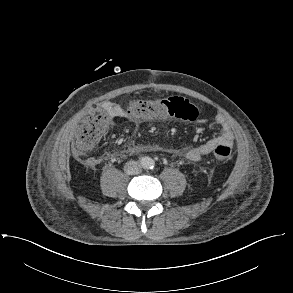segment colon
<instances>
[{
    "mask_svg": "<svg viewBox=\"0 0 293 293\" xmlns=\"http://www.w3.org/2000/svg\"><path fill=\"white\" fill-rule=\"evenodd\" d=\"M127 113L135 119L159 120L165 117H175L183 120H195L198 109L187 99L171 96L161 100H137L132 102ZM111 118L106 110H99L86 117L79 125L73 142L76 156L84 155L96 144L110 125ZM214 158L219 162H227L232 155L230 146L217 143L213 149Z\"/></svg>",
    "mask_w": 293,
    "mask_h": 293,
    "instance_id": "1",
    "label": "colon"
}]
</instances>
